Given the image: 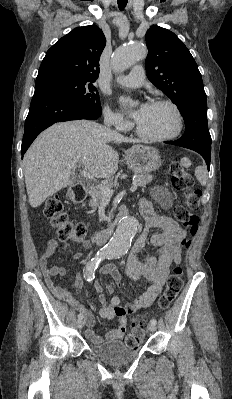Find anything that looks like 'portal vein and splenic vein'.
<instances>
[{"label":"portal vein and splenic vein","mask_w":232,"mask_h":399,"mask_svg":"<svg viewBox=\"0 0 232 399\" xmlns=\"http://www.w3.org/2000/svg\"><path fill=\"white\" fill-rule=\"evenodd\" d=\"M77 162H69V168H74V166H76ZM82 176H84V178H88V180H95V178H93L92 174H89V172H87V170H83V172H81ZM101 190L103 192V194H105V198H111V196H113V192L114 190H109V188H106V186H101ZM135 190H137V186L136 184H134V186H132V188H130V192H135Z\"/></svg>","instance_id":"18ae733b"}]
</instances>
